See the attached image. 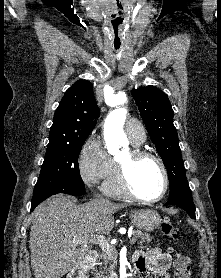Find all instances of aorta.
<instances>
[{
    "label": "aorta",
    "mask_w": 221,
    "mask_h": 278,
    "mask_svg": "<svg viewBox=\"0 0 221 278\" xmlns=\"http://www.w3.org/2000/svg\"><path fill=\"white\" fill-rule=\"evenodd\" d=\"M125 102V97H120V103ZM127 110L118 108L109 113L104 124V139L109 153L118 151L120 145L127 143L123 125L126 120Z\"/></svg>",
    "instance_id": "aorta-1"
}]
</instances>
